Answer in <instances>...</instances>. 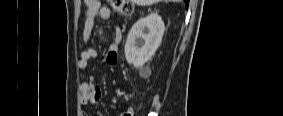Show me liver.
Segmentation results:
<instances>
[{
	"label": "liver",
	"mask_w": 283,
	"mask_h": 116,
	"mask_svg": "<svg viewBox=\"0 0 283 116\" xmlns=\"http://www.w3.org/2000/svg\"><path fill=\"white\" fill-rule=\"evenodd\" d=\"M137 4L139 5H151L156 2H159L160 0H134ZM172 1H177V0H172Z\"/></svg>",
	"instance_id": "liver-1"
}]
</instances>
